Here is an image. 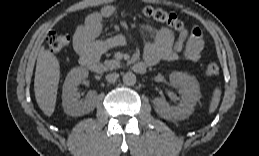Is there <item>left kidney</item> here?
<instances>
[{"mask_svg": "<svg viewBox=\"0 0 259 156\" xmlns=\"http://www.w3.org/2000/svg\"><path fill=\"white\" fill-rule=\"evenodd\" d=\"M172 85L179 87L182 92L178 105H170L164 98L157 97L153 100L156 112L168 120H184L194 111L196 103L200 100L199 83L195 77L183 72H172L169 75Z\"/></svg>", "mask_w": 259, "mask_h": 156, "instance_id": "left-kidney-1", "label": "left kidney"}]
</instances>
